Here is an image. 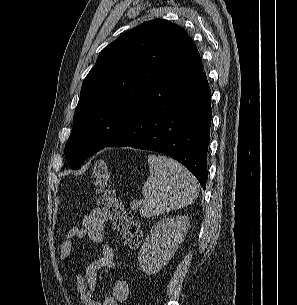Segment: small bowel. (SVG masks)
<instances>
[{"label":"small bowel","instance_id":"c3829d8e","mask_svg":"<svg viewBox=\"0 0 297 305\" xmlns=\"http://www.w3.org/2000/svg\"><path fill=\"white\" fill-rule=\"evenodd\" d=\"M108 221L106 212L101 208L93 209L86 215L81 224L73 227L66 234L61 243L59 258L65 261L69 258L75 241L89 237L93 242L101 245V256L90 263L83 274L76 276V288L83 305H119L129 297V285L125 280H115L110 294L102 300L95 298L96 272L99 268H113L114 250L105 243V228Z\"/></svg>","mask_w":297,"mask_h":305}]
</instances>
